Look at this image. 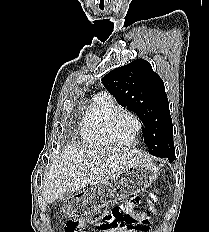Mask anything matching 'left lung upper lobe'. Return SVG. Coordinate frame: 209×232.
Returning <instances> with one entry per match:
<instances>
[{
  "label": "left lung upper lobe",
  "mask_w": 209,
  "mask_h": 232,
  "mask_svg": "<svg viewBox=\"0 0 209 232\" xmlns=\"http://www.w3.org/2000/svg\"><path fill=\"white\" fill-rule=\"evenodd\" d=\"M104 87L117 102L133 111L144 124V142L149 153L174 161L173 125L164 82L150 63L138 59L118 67L103 79Z\"/></svg>",
  "instance_id": "5c2ea615"
}]
</instances>
